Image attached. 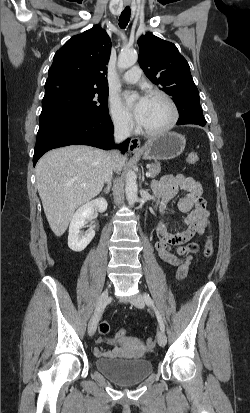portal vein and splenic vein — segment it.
<instances>
[{"instance_id": "1", "label": "portal vein and splenic vein", "mask_w": 250, "mask_h": 413, "mask_svg": "<svg viewBox=\"0 0 250 413\" xmlns=\"http://www.w3.org/2000/svg\"><path fill=\"white\" fill-rule=\"evenodd\" d=\"M146 176H147V177H150V176H151V173H150V172H147V173H146Z\"/></svg>"}]
</instances>
